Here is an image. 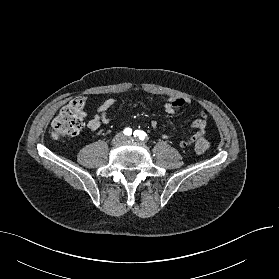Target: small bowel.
I'll list each match as a JSON object with an SVG mask.
<instances>
[{
    "label": "small bowel",
    "mask_w": 279,
    "mask_h": 279,
    "mask_svg": "<svg viewBox=\"0 0 279 279\" xmlns=\"http://www.w3.org/2000/svg\"><path fill=\"white\" fill-rule=\"evenodd\" d=\"M115 101L113 99L105 100L96 110L93 118L88 122V128L91 131H96L100 128L102 124H107L110 122L108 117L109 109L114 105ZM190 101L186 98L171 97L166 100L164 103V111L167 114H174L181 108L188 105ZM207 124V115L205 112H201L199 117L193 121L192 127L197 129V132L190 137L189 139L182 140L180 142V147L186 148L191 146L199 137H202L205 133V128ZM151 127L156 128L157 122L152 121Z\"/></svg>",
    "instance_id": "c3829d8e"
}]
</instances>
